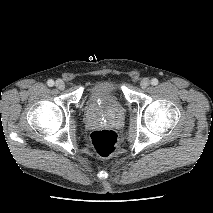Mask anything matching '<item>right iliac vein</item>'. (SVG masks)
Masks as SVG:
<instances>
[{"instance_id":"right-iliac-vein-1","label":"right iliac vein","mask_w":213,"mask_h":213,"mask_svg":"<svg viewBox=\"0 0 213 213\" xmlns=\"http://www.w3.org/2000/svg\"><path fill=\"white\" fill-rule=\"evenodd\" d=\"M55 86L59 89V90H63L65 88V83L63 80H57L55 83Z\"/></svg>"}]
</instances>
